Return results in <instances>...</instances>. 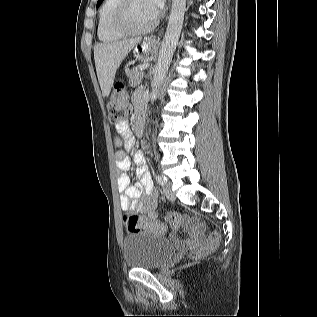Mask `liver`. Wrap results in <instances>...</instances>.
<instances>
[{
  "mask_svg": "<svg viewBox=\"0 0 317 317\" xmlns=\"http://www.w3.org/2000/svg\"><path fill=\"white\" fill-rule=\"evenodd\" d=\"M141 41L140 38L97 43L94 46V60L103 97H108L115 74L123 59Z\"/></svg>",
  "mask_w": 317,
  "mask_h": 317,
  "instance_id": "1",
  "label": "liver"
}]
</instances>
